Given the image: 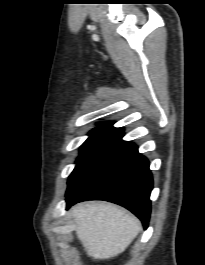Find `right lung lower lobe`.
<instances>
[{
	"instance_id": "right-lung-lower-lobe-1",
	"label": "right lung lower lobe",
	"mask_w": 205,
	"mask_h": 265,
	"mask_svg": "<svg viewBox=\"0 0 205 265\" xmlns=\"http://www.w3.org/2000/svg\"><path fill=\"white\" fill-rule=\"evenodd\" d=\"M122 137L66 192L67 209L81 201L106 200L130 210L147 228L153 187L149 162L135 144Z\"/></svg>"
}]
</instances>
